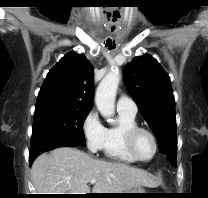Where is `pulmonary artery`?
<instances>
[{"mask_svg": "<svg viewBox=\"0 0 208 198\" xmlns=\"http://www.w3.org/2000/svg\"><path fill=\"white\" fill-rule=\"evenodd\" d=\"M116 105L119 112H126L132 115H136L138 110L136 103L125 95H122L118 98Z\"/></svg>", "mask_w": 208, "mask_h": 198, "instance_id": "obj_1", "label": "pulmonary artery"}]
</instances>
